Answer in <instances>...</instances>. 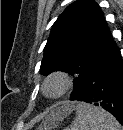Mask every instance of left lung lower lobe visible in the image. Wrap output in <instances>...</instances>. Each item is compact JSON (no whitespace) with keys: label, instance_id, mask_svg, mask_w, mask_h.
<instances>
[{"label":"left lung lower lobe","instance_id":"obj_1","mask_svg":"<svg viewBox=\"0 0 123 130\" xmlns=\"http://www.w3.org/2000/svg\"><path fill=\"white\" fill-rule=\"evenodd\" d=\"M76 100L103 107L123 125V63L116 43L95 61Z\"/></svg>","mask_w":123,"mask_h":130}]
</instances>
